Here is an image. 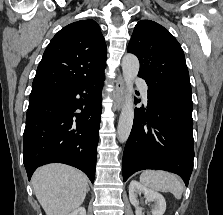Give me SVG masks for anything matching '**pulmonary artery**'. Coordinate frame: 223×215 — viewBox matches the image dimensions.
Here are the masks:
<instances>
[{"instance_id":"pulmonary-artery-1","label":"pulmonary artery","mask_w":223,"mask_h":215,"mask_svg":"<svg viewBox=\"0 0 223 215\" xmlns=\"http://www.w3.org/2000/svg\"><path fill=\"white\" fill-rule=\"evenodd\" d=\"M136 86L140 90V97L141 98H150L151 94L149 93V83L143 82V78H140V80L136 83Z\"/></svg>"}]
</instances>
